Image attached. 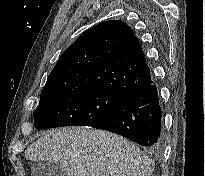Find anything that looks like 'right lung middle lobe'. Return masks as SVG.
<instances>
[{
  "label": "right lung middle lobe",
  "mask_w": 205,
  "mask_h": 176,
  "mask_svg": "<svg viewBox=\"0 0 205 176\" xmlns=\"http://www.w3.org/2000/svg\"><path fill=\"white\" fill-rule=\"evenodd\" d=\"M126 96L88 89L40 97L34 111L37 130L62 126H93L106 118Z\"/></svg>",
  "instance_id": "right-lung-middle-lobe-1"
}]
</instances>
